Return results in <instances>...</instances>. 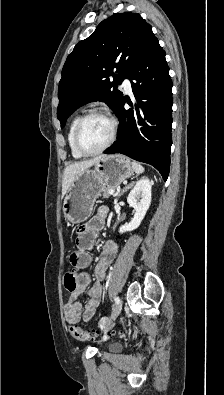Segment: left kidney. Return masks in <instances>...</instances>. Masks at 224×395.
Instances as JSON below:
<instances>
[{
    "instance_id": "obj_1",
    "label": "left kidney",
    "mask_w": 224,
    "mask_h": 395,
    "mask_svg": "<svg viewBox=\"0 0 224 395\" xmlns=\"http://www.w3.org/2000/svg\"><path fill=\"white\" fill-rule=\"evenodd\" d=\"M151 188L152 183L147 177H142L136 182L127 197V202L134 208L135 214L128 224L120 227V233L133 231L140 226L151 203Z\"/></svg>"
}]
</instances>
